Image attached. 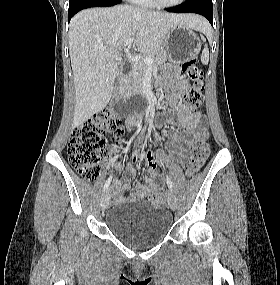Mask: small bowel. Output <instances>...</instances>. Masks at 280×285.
<instances>
[{"mask_svg": "<svg viewBox=\"0 0 280 285\" xmlns=\"http://www.w3.org/2000/svg\"><path fill=\"white\" fill-rule=\"evenodd\" d=\"M189 87L188 82L179 78L172 83V89L169 94V104L173 110H177L178 118L182 125L183 131L175 133L174 139L178 144L181 154H183L194 137H207L206 121L201 110L192 112L182 102V98ZM140 147L137 148L139 150ZM146 169L150 176L144 178L145 184L133 182V192L130 195L132 200L143 199L150 194L157 193L164 185L163 174L157 170V158L148 153L144 157ZM136 160L128 163L126 173L123 179L117 180L113 191V198L115 201H123L125 199L124 193L128 189L132 179L136 175L135 170Z\"/></svg>", "mask_w": 280, "mask_h": 285, "instance_id": "small-bowel-1", "label": "small bowel"}]
</instances>
